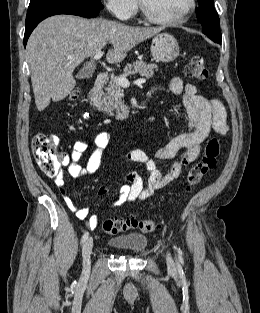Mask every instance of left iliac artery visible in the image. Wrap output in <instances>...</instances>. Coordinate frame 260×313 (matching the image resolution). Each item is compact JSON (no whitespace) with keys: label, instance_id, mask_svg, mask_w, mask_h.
Listing matches in <instances>:
<instances>
[{"label":"left iliac artery","instance_id":"left-iliac-artery-1","mask_svg":"<svg viewBox=\"0 0 260 313\" xmlns=\"http://www.w3.org/2000/svg\"><path fill=\"white\" fill-rule=\"evenodd\" d=\"M174 248H175V250H176L177 253H178V258H179L180 260H182V251H181L179 248H177L176 246H174Z\"/></svg>","mask_w":260,"mask_h":313}]
</instances>
